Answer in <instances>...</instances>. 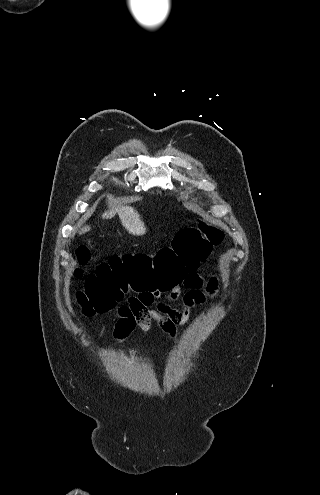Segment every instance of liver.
I'll return each mask as SVG.
<instances>
[{
	"mask_svg": "<svg viewBox=\"0 0 320 495\" xmlns=\"http://www.w3.org/2000/svg\"><path fill=\"white\" fill-rule=\"evenodd\" d=\"M115 213H118L119 219L123 227L131 235H144L147 231L144 222L141 220L139 213L131 206L112 207L109 212H105L102 215L103 219H110L114 217ZM90 225H85L79 230V235H82L90 231Z\"/></svg>",
	"mask_w": 320,
	"mask_h": 495,
	"instance_id": "6515ba94",
	"label": "liver"
}]
</instances>
